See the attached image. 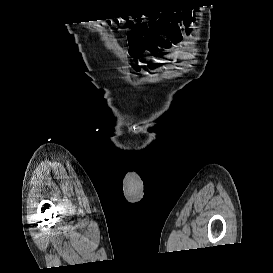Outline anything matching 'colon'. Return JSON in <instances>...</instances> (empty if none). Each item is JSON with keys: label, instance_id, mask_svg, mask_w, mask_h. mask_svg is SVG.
<instances>
[{"label": "colon", "instance_id": "1", "mask_svg": "<svg viewBox=\"0 0 273 273\" xmlns=\"http://www.w3.org/2000/svg\"><path fill=\"white\" fill-rule=\"evenodd\" d=\"M125 27L128 29V39L132 43L140 42L145 35H149V26L143 21H134L127 18L124 21Z\"/></svg>", "mask_w": 273, "mask_h": 273}]
</instances>
